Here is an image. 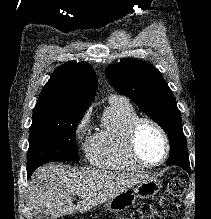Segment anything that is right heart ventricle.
<instances>
[{"mask_svg":"<svg viewBox=\"0 0 211 219\" xmlns=\"http://www.w3.org/2000/svg\"><path fill=\"white\" fill-rule=\"evenodd\" d=\"M138 116L134 107L121 98L111 99L104 111L102 128L93 134L85 146L88 161L100 168L135 171L139 166L130 156L127 132Z\"/></svg>","mask_w":211,"mask_h":219,"instance_id":"obj_1","label":"right heart ventricle"}]
</instances>
